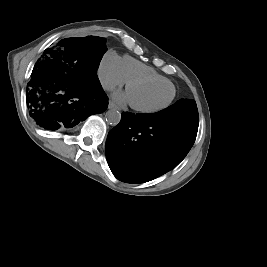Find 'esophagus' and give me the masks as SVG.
<instances>
[{"mask_svg": "<svg viewBox=\"0 0 267 267\" xmlns=\"http://www.w3.org/2000/svg\"><path fill=\"white\" fill-rule=\"evenodd\" d=\"M109 109H119L115 103L113 101H109V105H108Z\"/></svg>", "mask_w": 267, "mask_h": 267, "instance_id": "1", "label": "esophagus"}]
</instances>
